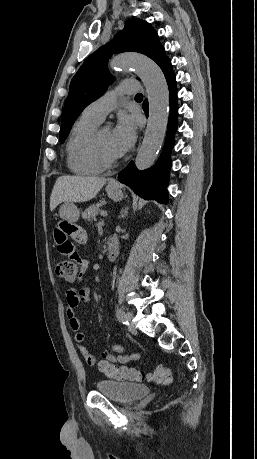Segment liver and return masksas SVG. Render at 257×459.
Wrapping results in <instances>:
<instances>
[{
  "label": "liver",
  "instance_id": "liver-1",
  "mask_svg": "<svg viewBox=\"0 0 257 459\" xmlns=\"http://www.w3.org/2000/svg\"><path fill=\"white\" fill-rule=\"evenodd\" d=\"M105 178L95 176H60L50 198L53 211L62 202H86L93 199L106 183Z\"/></svg>",
  "mask_w": 257,
  "mask_h": 459
}]
</instances>
